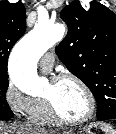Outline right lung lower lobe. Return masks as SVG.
<instances>
[{
    "mask_svg": "<svg viewBox=\"0 0 116 134\" xmlns=\"http://www.w3.org/2000/svg\"><path fill=\"white\" fill-rule=\"evenodd\" d=\"M13 115H14V114L12 113V115H11L10 117H13ZM10 117H8V118H10ZM4 119H5V118H4Z\"/></svg>",
    "mask_w": 116,
    "mask_h": 134,
    "instance_id": "right-lung-lower-lobe-1",
    "label": "right lung lower lobe"
}]
</instances>
